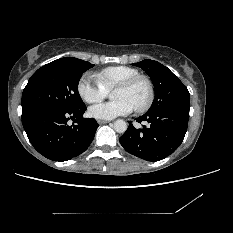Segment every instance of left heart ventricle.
<instances>
[{"label":"left heart ventricle","instance_id":"left-heart-ventricle-1","mask_svg":"<svg viewBox=\"0 0 233 233\" xmlns=\"http://www.w3.org/2000/svg\"><path fill=\"white\" fill-rule=\"evenodd\" d=\"M147 96V87L143 81L137 82L129 89L117 88L113 90L112 98L114 100L125 99L129 101L134 108L140 106Z\"/></svg>","mask_w":233,"mask_h":233}]
</instances>
